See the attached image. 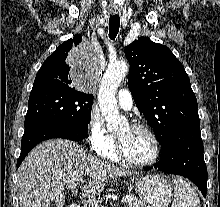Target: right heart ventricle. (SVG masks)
I'll list each match as a JSON object with an SVG mask.
<instances>
[{
	"label": "right heart ventricle",
	"mask_w": 220,
	"mask_h": 207,
	"mask_svg": "<svg viewBox=\"0 0 220 207\" xmlns=\"http://www.w3.org/2000/svg\"><path fill=\"white\" fill-rule=\"evenodd\" d=\"M103 158L110 160V161H114L117 162L119 161L116 152H115V146L113 145L111 148L107 149L106 151L102 152L100 154Z\"/></svg>",
	"instance_id": "1"
}]
</instances>
